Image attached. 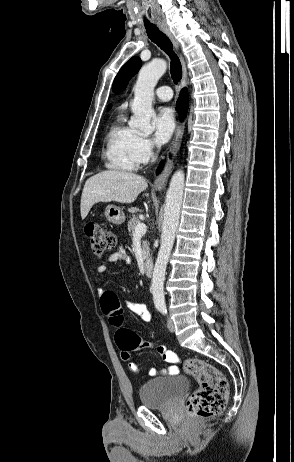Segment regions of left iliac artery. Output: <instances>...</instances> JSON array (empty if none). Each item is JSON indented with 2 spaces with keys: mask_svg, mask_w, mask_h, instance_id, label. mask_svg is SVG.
Returning <instances> with one entry per match:
<instances>
[{
  "mask_svg": "<svg viewBox=\"0 0 294 462\" xmlns=\"http://www.w3.org/2000/svg\"><path fill=\"white\" fill-rule=\"evenodd\" d=\"M159 310H160L163 314H166V313H167L166 307H161Z\"/></svg>",
  "mask_w": 294,
  "mask_h": 462,
  "instance_id": "left-iliac-artery-1",
  "label": "left iliac artery"
}]
</instances>
